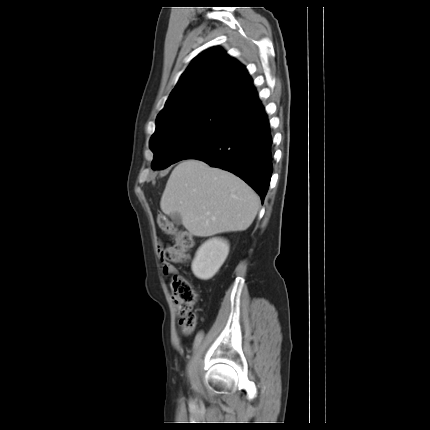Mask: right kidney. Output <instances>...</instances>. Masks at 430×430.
<instances>
[{"label": "right kidney", "instance_id": "obj_1", "mask_svg": "<svg viewBox=\"0 0 430 430\" xmlns=\"http://www.w3.org/2000/svg\"><path fill=\"white\" fill-rule=\"evenodd\" d=\"M229 253L226 240L212 238L205 241L197 250L192 262V272L200 280L211 279L223 265Z\"/></svg>", "mask_w": 430, "mask_h": 430}]
</instances>
